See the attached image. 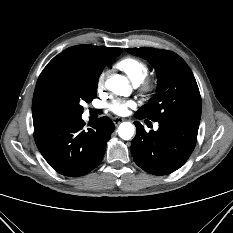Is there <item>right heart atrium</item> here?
I'll use <instances>...</instances> for the list:
<instances>
[{
	"mask_svg": "<svg viewBox=\"0 0 233 233\" xmlns=\"http://www.w3.org/2000/svg\"><path fill=\"white\" fill-rule=\"evenodd\" d=\"M105 78H106V72L105 71H102L98 78H97V81H96V90L98 92H101L103 91L104 89V85H105Z\"/></svg>",
	"mask_w": 233,
	"mask_h": 233,
	"instance_id": "1",
	"label": "right heart atrium"
}]
</instances>
